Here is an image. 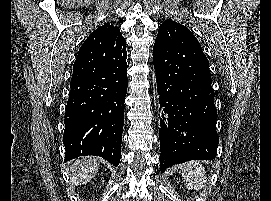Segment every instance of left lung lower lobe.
<instances>
[{
  "instance_id": "1",
  "label": "left lung lower lobe",
  "mask_w": 271,
  "mask_h": 201,
  "mask_svg": "<svg viewBox=\"0 0 271 201\" xmlns=\"http://www.w3.org/2000/svg\"><path fill=\"white\" fill-rule=\"evenodd\" d=\"M153 62L162 116L160 169L189 160H212L219 138L209 64L186 27L155 42Z\"/></svg>"
}]
</instances>
